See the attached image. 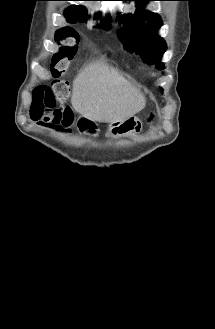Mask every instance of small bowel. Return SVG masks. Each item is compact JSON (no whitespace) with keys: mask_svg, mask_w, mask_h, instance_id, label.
Wrapping results in <instances>:
<instances>
[{"mask_svg":"<svg viewBox=\"0 0 215 329\" xmlns=\"http://www.w3.org/2000/svg\"><path fill=\"white\" fill-rule=\"evenodd\" d=\"M29 115L38 125L53 130H64L69 126L72 118L71 111L70 114H31L29 111Z\"/></svg>","mask_w":215,"mask_h":329,"instance_id":"c3829d8e","label":"small bowel"}]
</instances>
